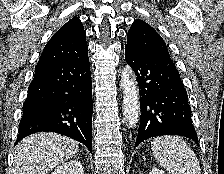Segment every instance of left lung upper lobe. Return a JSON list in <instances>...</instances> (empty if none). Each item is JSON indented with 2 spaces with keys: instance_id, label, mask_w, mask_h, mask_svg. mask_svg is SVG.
<instances>
[{
  "instance_id": "obj_1",
  "label": "left lung upper lobe",
  "mask_w": 224,
  "mask_h": 174,
  "mask_svg": "<svg viewBox=\"0 0 224 174\" xmlns=\"http://www.w3.org/2000/svg\"><path fill=\"white\" fill-rule=\"evenodd\" d=\"M125 48L145 55L161 54L170 57L162 37L149 24L140 19L135 20L131 25Z\"/></svg>"
}]
</instances>
